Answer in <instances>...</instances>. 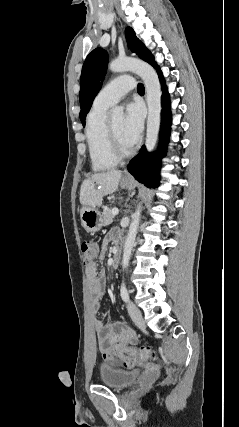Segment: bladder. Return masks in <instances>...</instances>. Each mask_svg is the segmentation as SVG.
I'll use <instances>...</instances> for the list:
<instances>
[{"label":"bladder","instance_id":"bladder-1","mask_svg":"<svg viewBox=\"0 0 239 427\" xmlns=\"http://www.w3.org/2000/svg\"><path fill=\"white\" fill-rule=\"evenodd\" d=\"M99 376L100 382L105 386L111 388H124L137 380L139 371L102 367Z\"/></svg>","mask_w":239,"mask_h":427}]
</instances>
